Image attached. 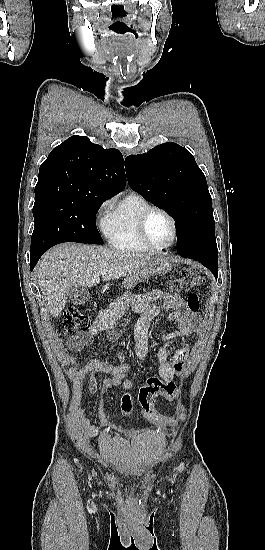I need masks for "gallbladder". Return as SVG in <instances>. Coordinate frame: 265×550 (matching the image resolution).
<instances>
[{"label":"gallbladder","instance_id":"obj_1","mask_svg":"<svg viewBox=\"0 0 265 550\" xmlns=\"http://www.w3.org/2000/svg\"><path fill=\"white\" fill-rule=\"evenodd\" d=\"M90 298L89 290L85 287H72L68 291L67 300L74 305L85 304Z\"/></svg>","mask_w":265,"mask_h":550}]
</instances>
